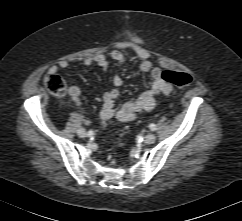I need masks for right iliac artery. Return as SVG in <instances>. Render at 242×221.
<instances>
[{
  "label": "right iliac artery",
  "mask_w": 242,
  "mask_h": 221,
  "mask_svg": "<svg viewBox=\"0 0 242 221\" xmlns=\"http://www.w3.org/2000/svg\"><path fill=\"white\" fill-rule=\"evenodd\" d=\"M88 135H89V136H92V135H93V131L90 130V131L88 132Z\"/></svg>",
  "instance_id": "right-iliac-artery-1"
}]
</instances>
